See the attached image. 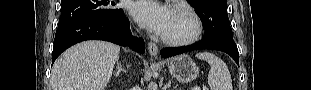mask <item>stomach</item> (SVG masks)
<instances>
[{
	"label": "stomach",
	"mask_w": 311,
	"mask_h": 90,
	"mask_svg": "<svg viewBox=\"0 0 311 90\" xmlns=\"http://www.w3.org/2000/svg\"><path fill=\"white\" fill-rule=\"evenodd\" d=\"M168 70L173 78L182 83L191 82L199 74V68L186 54L172 58L168 63Z\"/></svg>",
	"instance_id": "obj_1"
}]
</instances>
